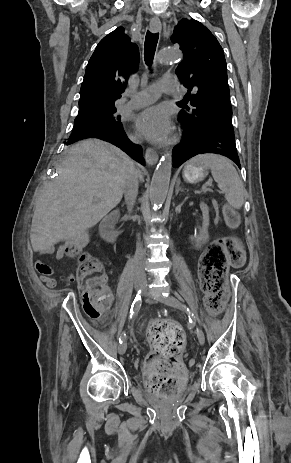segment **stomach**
<instances>
[{
    "mask_svg": "<svg viewBox=\"0 0 291 463\" xmlns=\"http://www.w3.org/2000/svg\"><path fill=\"white\" fill-rule=\"evenodd\" d=\"M206 175L207 167L201 163H188L183 169V178L190 183L201 181Z\"/></svg>",
    "mask_w": 291,
    "mask_h": 463,
    "instance_id": "0dacf381",
    "label": "stomach"
}]
</instances>
